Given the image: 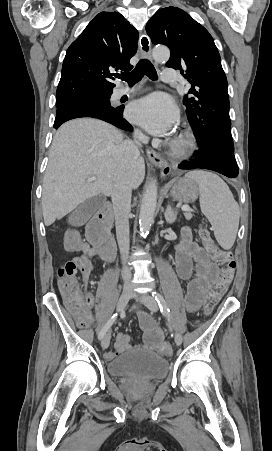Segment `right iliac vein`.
Segmentation results:
<instances>
[{
    "instance_id": "obj_1",
    "label": "right iliac vein",
    "mask_w": 272,
    "mask_h": 451,
    "mask_svg": "<svg viewBox=\"0 0 272 451\" xmlns=\"http://www.w3.org/2000/svg\"><path fill=\"white\" fill-rule=\"evenodd\" d=\"M132 296V290L129 287L124 288V290L122 291L119 300L117 302V310L121 311L126 304L128 303V301L130 300ZM110 333H107L106 335H104L101 339V346L103 349H107L110 343Z\"/></svg>"
}]
</instances>
